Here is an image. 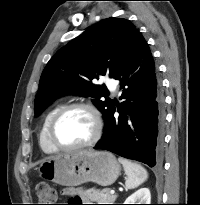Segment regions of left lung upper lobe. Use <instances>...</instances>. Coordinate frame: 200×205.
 Returning <instances> with one entry per match:
<instances>
[{
    "mask_svg": "<svg viewBox=\"0 0 200 205\" xmlns=\"http://www.w3.org/2000/svg\"><path fill=\"white\" fill-rule=\"evenodd\" d=\"M138 30L126 19L107 18L61 48L47 63L34 102L38 116L57 97L73 93L92 97L93 103L106 119L113 101L104 93V86L93 79L115 71L130 49Z\"/></svg>",
    "mask_w": 200,
    "mask_h": 205,
    "instance_id": "left-lung-upper-lobe-1",
    "label": "left lung upper lobe"
}]
</instances>
